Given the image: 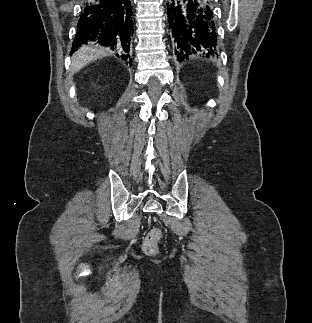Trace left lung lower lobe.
I'll list each match as a JSON object with an SVG mask.
<instances>
[{
	"label": "left lung lower lobe",
	"instance_id": "0a47b994",
	"mask_svg": "<svg viewBox=\"0 0 312 323\" xmlns=\"http://www.w3.org/2000/svg\"><path fill=\"white\" fill-rule=\"evenodd\" d=\"M212 0L167 2L170 40L178 61L218 56L217 22Z\"/></svg>",
	"mask_w": 312,
	"mask_h": 323
}]
</instances>
